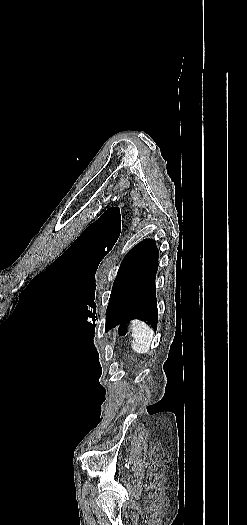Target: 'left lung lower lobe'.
<instances>
[{
	"mask_svg": "<svg viewBox=\"0 0 247 525\" xmlns=\"http://www.w3.org/2000/svg\"><path fill=\"white\" fill-rule=\"evenodd\" d=\"M158 254L149 268L124 292L106 314V327L129 323L138 318L147 321L155 330L158 321L155 277Z\"/></svg>",
	"mask_w": 247,
	"mask_h": 525,
	"instance_id": "obj_1",
	"label": "left lung lower lobe"
}]
</instances>
